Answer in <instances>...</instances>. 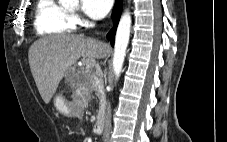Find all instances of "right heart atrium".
<instances>
[{
	"label": "right heart atrium",
	"instance_id": "1",
	"mask_svg": "<svg viewBox=\"0 0 227 142\" xmlns=\"http://www.w3.org/2000/svg\"><path fill=\"white\" fill-rule=\"evenodd\" d=\"M72 19H73L74 24H78L81 21L78 15H73Z\"/></svg>",
	"mask_w": 227,
	"mask_h": 142
}]
</instances>
